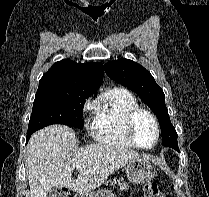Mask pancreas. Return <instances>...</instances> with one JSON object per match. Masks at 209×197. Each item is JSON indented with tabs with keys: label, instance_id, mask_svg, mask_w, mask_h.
Returning a JSON list of instances; mask_svg holds the SVG:
<instances>
[{
	"label": "pancreas",
	"instance_id": "cf45deb5",
	"mask_svg": "<svg viewBox=\"0 0 209 197\" xmlns=\"http://www.w3.org/2000/svg\"><path fill=\"white\" fill-rule=\"evenodd\" d=\"M110 183L113 187H119L121 190L128 189L129 184L124 181V178H114L113 180L107 181L106 184Z\"/></svg>",
	"mask_w": 209,
	"mask_h": 197
}]
</instances>
